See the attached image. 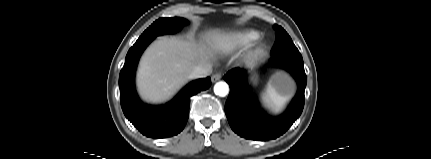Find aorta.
Instances as JSON below:
<instances>
[{"label": "aorta", "instance_id": "762f6f07", "mask_svg": "<svg viewBox=\"0 0 431 159\" xmlns=\"http://www.w3.org/2000/svg\"><path fill=\"white\" fill-rule=\"evenodd\" d=\"M229 92V86L226 82H217L214 86V93L218 96H226Z\"/></svg>", "mask_w": 431, "mask_h": 159}]
</instances>
